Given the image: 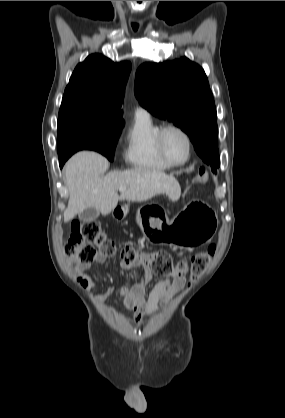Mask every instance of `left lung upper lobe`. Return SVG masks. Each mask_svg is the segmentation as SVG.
Wrapping results in <instances>:
<instances>
[{
    "mask_svg": "<svg viewBox=\"0 0 285 418\" xmlns=\"http://www.w3.org/2000/svg\"><path fill=\"white\" fill-rule=\"evenodd\" d=\"M135 95L150 113L187 133L206 164L219 167L217 113L203 68L186 57L144 63L136 72Z\"/></svg>",
    "mask_w": 285,
    "mask_h": 418,
    "instance_id": "5c2ea615",
    "label": "left lung upper lobe"
}]
</instances>
